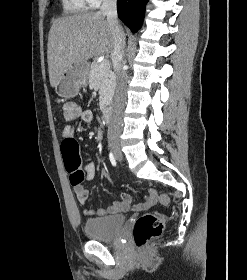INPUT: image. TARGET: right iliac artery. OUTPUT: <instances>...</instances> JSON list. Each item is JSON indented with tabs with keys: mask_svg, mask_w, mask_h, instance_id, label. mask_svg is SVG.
<instances>
[{
	"mask_svg": "<svg viewBox=\"0 0 247 280\" xmlns=\"http://www.w3.org/2000/svg\"><path fill=\"white\" fill-rule=\"evenodd\" d=\"M109 159H110L112 165L116 166V160H115L114 154L112 152L109 153Z\"/></svg>",
	"mask_w": 247,
	"mask_h": 280,
	"instance_id": "right-iliac-artery-1",
	"label": "right iliac artery"
}]
</instances>
